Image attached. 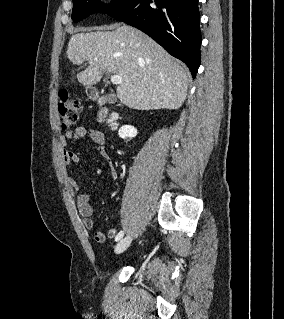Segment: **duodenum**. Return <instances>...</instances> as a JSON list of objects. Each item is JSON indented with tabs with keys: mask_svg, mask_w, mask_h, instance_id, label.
Returning <instances> with one entry per match:
<instances>
[{
	"mask_svg": "<svg viewBox=\"0 0 284 319\" xmlns=\"http://www.w3.org/2000/svg\"><path fill=\"white\" fill-rule=\"evenodd\" d=\"M92 97L98 100V102L103 105L105 103V99L103 97H100L95 90L91 91ZM108 115V111L105 107H103L100 111V117L102 121H105Z\"/></svg>",
	"mask_w": 284,
	"mask_h": 319,
	"instance_id": "duodenum-1",
	"label": "duodenum"
}]
</instances>
